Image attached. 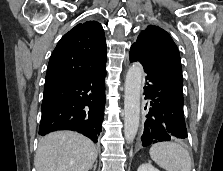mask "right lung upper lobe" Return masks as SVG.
<instances>
[{"instance_id": "right-lung-upper-lobe-1", "label": "right lung upper lobe", "mask_w": 223, "mask_h": 171, "mask_svg": "<svg viewBox=\"0 0 223 171\" xmlns=\"http://www.w3.org/2000/svg\"><path fill=\"white\" fill-rule=\"evenodd\" d=\"M104 30L96 21L76 25L58 42L47 69L44 90L83 80L106 66Z\"/></svg>"}]
</instances>
